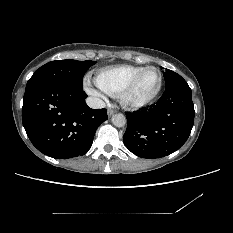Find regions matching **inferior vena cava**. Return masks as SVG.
<instances>
[{
  "label": "inferior vena cava",
  "mask_w": 233,
  "mask_h": 233,
  "mask_svg": "<svg viewBox=\"0 0 233 233\" xmlns=\"http://www.w3.org/2000/svg\"><path fill=\"white\" fill-rule=\"evenodd\" d=\"M86 103L90 108H94V109L105 107V103L101 99L96 97H88L86 99Z\"/></svg>",
  "instance_id": "1"
}]
</instances>
